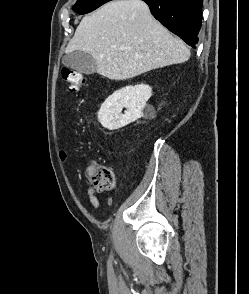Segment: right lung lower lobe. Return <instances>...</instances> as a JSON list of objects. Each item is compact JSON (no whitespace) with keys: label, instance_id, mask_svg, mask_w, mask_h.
<instances>
[{"label":"right lung lower lobe","instance_id":"obj_1","mask_svg":"<svg viewBox=\"0 0 249 294\" xmlns=\"http://www.w3.org/2000/svg\"><path fill=\"white\" fill-rule=\"evenodd\" d=\"M152 15L195 48L201 28L203 0H143Z\"/></svg>","mask_w":249,"mask_h":294}]
</instances>
